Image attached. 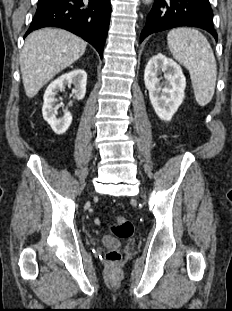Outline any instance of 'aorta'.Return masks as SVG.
<instances>
[{
	"label": "aorta",
	"instance_id": "obj_1",
	"mask_svg": "<svg viewBox=\"0 0 232 311\" xmlns=\"http://www.w3.org/2000/svg\"><path fill=\"white\" fill-rule=\"evenodd\" d=\"M145 4L150 3L152 0H143Z\"/></svg>",
	"mask_w": 232,
	"mask_h": 311
}]
</instances>
